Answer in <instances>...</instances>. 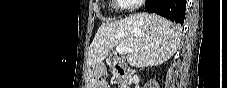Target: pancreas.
Listing matches in <instances>:
<instances>
[{
  "label": "pancreas",
  "instance_id": "obj_1",
  "mask_svg": "<svg viewBox=\"0 0 227 88\" xmlns=\"http://www.w3.org/2000/svg\"><path fill=\"white\" fill-rule=\"evenodd\" d=\"M114 77L116 79V83L123 84V81H122V79H121V77L119 75H117L116 73H114Z\"/></svg>",
  "mask_w": 227,
  "mask_h": 88
}]
</instances>
